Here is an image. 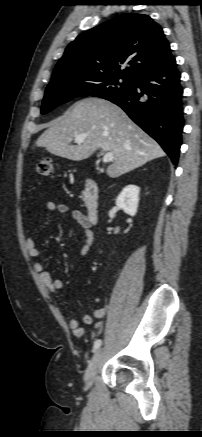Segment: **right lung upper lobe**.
Masks as SVG:
<instances>
[{"mask_svg":"<svg viewBox=\"0 0 202 437\" xmlns=\"http://www.w3.org/2000/svg\"><path fill=\"white\" fill-rule=\"evenodd\" d=\"M172 57L162 28L144 14L117 16L71 42L57 63L52 81L68 77L121 73L131 77ZM128 61L130 67L120 70Z\"/></svg>","mask_w":202,"mask_h":437,"instance_id":"right-lung-upper-lobe-1","label":"right lung upper lobe"}]
</instances>
